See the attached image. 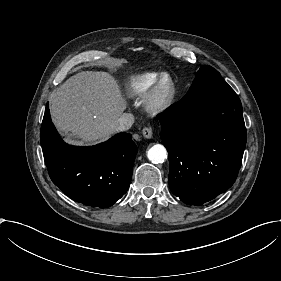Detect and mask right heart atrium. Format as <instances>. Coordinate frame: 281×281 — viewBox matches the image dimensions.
<instances>
[{
	"label": "right heart atrium",
	"mask_w": 281,
	"mask_h": 281,
	"mask_svg": "<svg viewBox=\"0 0 281 281\" xmlns=\"http://www.w3.org/2000/svg\"><path fill=\"white\" fill-rule=\"evenodd\" d=\"M110 102H111V106H112V110H111V113H110V117L112 119L116 118L120 113L121 111L123 110V104L120 102V100L115 97L113 94L109 93L107 94Z\"/></svg>",
	"instance_id": "1"
}]
</instances>
